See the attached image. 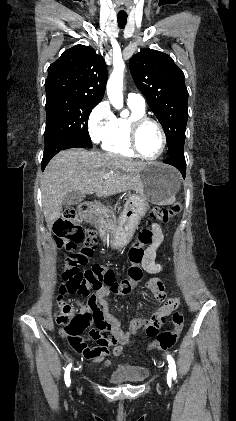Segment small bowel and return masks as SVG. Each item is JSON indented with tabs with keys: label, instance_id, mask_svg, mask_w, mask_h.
Instances as JSON below:
<instances>
[{
	"label": "small bowel",
	"instance_id": "c3829d8e",
	"mask_svg": "<svg viewBox=\"0 0 236 421\" xmlns=\"http://www.w3.org/2000/svg\"><path fill=\"white\" fill-rule=\"evenodd\" d=\"M151 228H152V233H153V245L147 250V253L144 259V266L147 269L153 270L152 263L154 259V249L157 248L162 242L163 233L160 226L156 223H153L151 225ZM149 289L156 297L158 298L164 297V287L161 283L153 281L149 284ZM106 295H108L107 290H100V291H97L94 295H92L88 301V305L90 307L94 309L95 308L98 309V311H96V320H97L98 326L100 327V330L98 331L93 330L90 332V335L93 338H95L99 344L104 339L103 332L105 331H103V329H105V326L106 327L113 326L115 329L119 330V324L117 320H115L109 313L108 303L104 299ZM170 311H171V307L163 308L160 311V313L157 315V317L154 319V322H158V320L159 321L162 320V317L169 314ZM139 325L140 323L136 322L134 323L133 328L136 329ZM154 325H156V323H154ZM60 334L62 337L66 338V335L63 331ZM119 353H120L119 348H115L113 350L114 356H117ZM106 355L107 353L104 352V353L99 354L98 356H89L86 358L93 359L99 362L102 361L105 365H108L109 361L105 359ZM143 373L145 374V371H143Z\"/></svg>",
	"mask_w": 236,
	"mask_h": 421
}]
</instances>
